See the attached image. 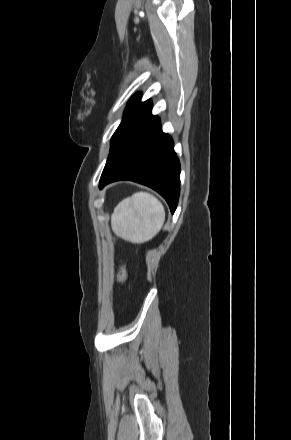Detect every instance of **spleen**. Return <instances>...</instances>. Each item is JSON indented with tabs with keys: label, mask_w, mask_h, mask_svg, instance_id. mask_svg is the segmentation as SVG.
Returning <instances> with one entry per match:
<instances>
[{
	"label": "spleen",
	"mask_w": 291,
	"mask_h": 440,
	"mask_svg": "<svg viewBox=\"0 0 291 440\" xmlns=\"http://www.w3.org/2000/svg\"><path fill=\"white\" fill-rule=\"evenodd\" d=\"M165 221V209L152 194L136 192L114 208L111 227L115 235L131 243L153 239Z\"/></svg>",
	"instance_id": "obj_1"
}]
</instances>
